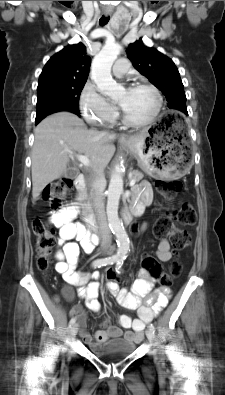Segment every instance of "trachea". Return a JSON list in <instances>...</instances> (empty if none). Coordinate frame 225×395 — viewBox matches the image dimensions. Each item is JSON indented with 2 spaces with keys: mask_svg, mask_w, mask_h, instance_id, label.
I'll use <instances>...</instances> for the list:
<instances>
[{
  "mask_svg": "<svg viewBox=\"0 0 225 395\" xmlns=\"http://www.w3.org/2000/svg\"><path fill=\"white\" fill-rule=\"evenodd\" d=\"M109 19H110L109 17L102 16L99 20V24L101 26H104L109 22Z\"/></svg>",
  "mask_w": 225,
  "mask_h": 395,
  "instance_id": "1",
  "label": "trachea"
}]
</instances>
